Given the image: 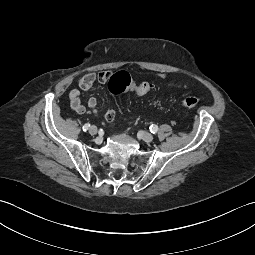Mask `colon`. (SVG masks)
Returning <instances> with one entry per match:
<instances>
[{
	"label": "colon",
	"instance_id": "1",
	"mask_svg": "<svg viewBox=\"0 0 255 255\" xmlns=\"http://www.w3.org/2000/svg\"><path fill=\"white\" fill-rule=\"evenodd\" d=\"M108 89L111 96L132 90L139 95H144L152 90V85L148 82L135 83L127 72L120 71L111 76L108 82ZM181 104L188 109H194L198 106L199 100L193 96H187L182 99Z\"/></svg>",
	"mask_w": 255,
	"mask_h": 255
}]
</instances>
